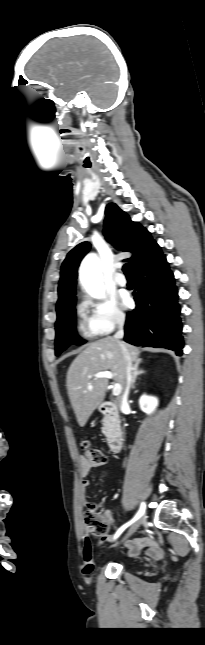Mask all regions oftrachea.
Masks as SVG:
<instances>
[{
    "instance_id": "3493384b",
    "label": "trachea",
    "mask_w": 205,
    "mask_h": 645,
    "mask_svg": "<svg viewBox=\"0 0 205 645\" xmlns=\"http://www.w3.org/2000/svg\"><path fill=\"white\" fill-rule=\"evenodd\" d=\"M123 272L126 276H133L132 274V265L130 263H126L123 266Z\"/></svg>"
}]
</instances>
